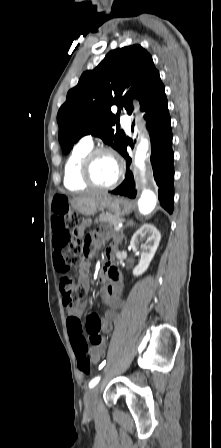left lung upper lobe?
<instances>
[{"label": "left lung upper lobe", "mask_w": 221, "mask_h": 448, "mask_svg": "<svg viewBox=\"0 0 221 448\" xmlns=\"http://www.w3.org/2000/svg\"><path fill=\"white\" fill-rule=\"evenodd\" d=\"M127 85L141 105L150 94L164 87L151 55L137 44L110 51L69 90L57 115L59 142L64 153H69L74 143L88 134L121 151L125 134L115 133L112 127L118 122L121 109L129 115L133 111L129 93L123 95ZM114 105L118 106L116 116L111 113Z\"/></svg>", "instance_id": "1"}]
</instances>
